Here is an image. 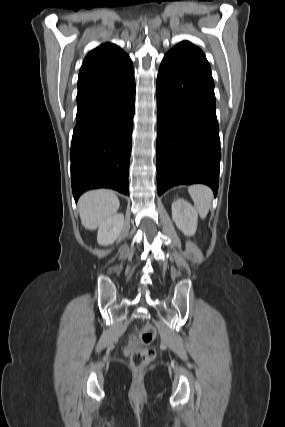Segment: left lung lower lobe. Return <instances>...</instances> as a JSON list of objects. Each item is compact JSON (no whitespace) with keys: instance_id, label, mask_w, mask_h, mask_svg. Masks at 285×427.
I'll return each mask as SVG.
<instances>
[{"instance_id":"1","label":"left lung lower lobe","mask_w":285,"mask_h":427,"mask_svg":"<svg viewBox=\"0 0 285 427\" xmlns=\"http://www.w3.org/2000/svg\"><path fill=\"white\" fill-rule=\"evenodd\" d=\"M157 191L204 183L217 194L220 139L213 78L165 55L157 76Z\"/></svg>"}]
</instances>
